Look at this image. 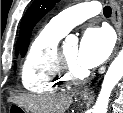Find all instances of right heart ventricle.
Masks as SVG:
<instances>
[{"label": "right heart ventricle", "instance_id": "right-heart-ventricle-1", "mask_svg": "<svg viewBox=\"0 0 123 113\" xmlns=\"http://www.w3.org/2000/svg\"><path fill=\"white\" fill-rule=\"evenodd\" d=\"M64 35L47 25L34 37L21 70L22 83L28 91L52 93L67 82L58 62V44Z\"/></svg>", "mask_w": 123, "mask_h": 113}]
</instances>
